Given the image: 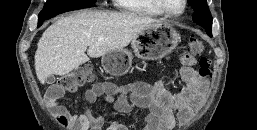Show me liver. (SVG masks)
<instances>
[{"label":"liver","instance_id":"liver-1","mask_svg":"<svg viewBox=\"0 0 257 130\" xmlns=\"http://www.w3.org/2000/svg\"><path fill=\"white\" fill-rule=\"evenodd\" d=\"M160 23L130 13L90 10L62 17L45 30L38 42L34 57L37 78L43 84L51 75H67L90 57L123 49L143 30Z\"/></svg>","mask_w":257,"mask_h":130}]
</instances>
